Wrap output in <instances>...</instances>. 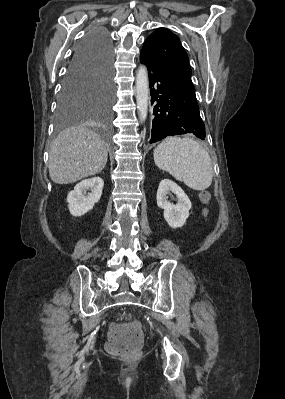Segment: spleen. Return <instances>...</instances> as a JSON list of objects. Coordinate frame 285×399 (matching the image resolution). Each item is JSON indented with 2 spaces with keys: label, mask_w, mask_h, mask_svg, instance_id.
<instances>
[{
  "label": "spleen",
  "mask_w": 285,
  "mask_h": 399,
  "mask_svg": "<svg viewBox=\"0 0 285 399\" xmlns=\"http://www.w3.org/2000/svg\"><path fill=\"white\" fill-rule=\"evenodd\" d=\"M153 155L157 167L191 189L203 191L212 183L211 158L200 143L189 137H167L155 148Z\"/></svg>",
  "instance_id": "3e777b00"
}]
</instances>
